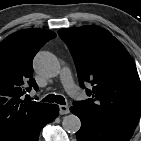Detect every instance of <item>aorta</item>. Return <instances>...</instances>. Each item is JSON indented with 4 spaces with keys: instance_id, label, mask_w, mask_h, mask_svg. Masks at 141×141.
Instances as JSON below:
<instances>
[{
    "instance_id": "762f6f07",
    "label": "aorta",
    "mask_w": 141,
    "mask_h": 141,
    "mask_svg": "<svg viewBox=\"0 0 141 141\" xmlns=\"http://www.w3.org/2000/svg\"><path fill=\"white\" fill-rule=\"evenodd\" d=\"M35 71L47 78H53L60 73V63L52 53L40 51L33 60ZM62 126L68 133H76L81 128V121L78 116L69 114L63 118Z\"/></svg>"
}]
</instances>
